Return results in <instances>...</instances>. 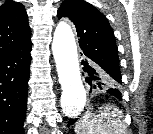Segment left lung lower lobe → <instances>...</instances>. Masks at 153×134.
Returning <instances> with one entry per match:
<instances>
[{
    "mask_svg": "<svg viewBox=\"0 0 153 134\" xmlns=\"http://www.w3.org/2000/svg\"><path fill=\"white\" fill-rule=\"evenodd\" d=\"M82 65H84L83 70L88 73V77L86 78V82L91 86L90 93L94 92L98 89H103L105 87V82L108 80V77H111V72L103 69L100 66H97L93 62L88 59L82 60ZM108 93L121 99V93L118 89H110ZM75 120H70L68 123V127L72 125Z\"/></svg>",
    "mask_w": 153,
    "mask_h": 134,
    "instance_id": "left-lung-lower-lobe-1",
    "label": "left lung lower lobe"
}]
</instances>
